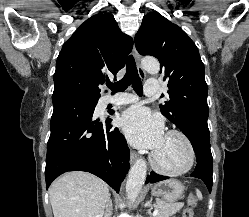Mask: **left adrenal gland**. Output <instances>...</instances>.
I'll list each match as a JSON object with an SVG mask.
<instances>
[{
  "label": "left adrenal gland",
  "instance_id": "1",
  "mask_svg": "<svg viewBox=\"0 0 249 217\" xmlns=\"http://www.w3.org/2000/svg\"><path fill=\"white\" fill-rule=\"evenodd\" d=\"M145 207H148L149 209L147 210V213L150 215V217H152V209H153V206H152V201L149 200L147 201L145 204H144Z\"/></svg>",
  "mask_w": 249,
  "mask_h": 217
}]
</instances>
